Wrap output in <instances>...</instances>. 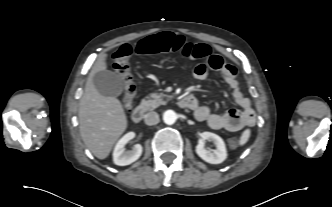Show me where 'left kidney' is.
Wrapping results in <instances>:
<instances>
[{
	"mask_svg": "<svg viewBox=\"0 0 332 207\" xmlns=\"http://www.w3.org/2000/svg\"><path fill=\"white\" fill-rule=\"evenodd\" d=\"M200 136L201 139L196 146L197 155L205 162H208L210 164L222 163L227 158V151L223 139L220 136L211 132H203ZM205 140L213 141L216 149L212 152L208 151L205 148Z\"/></svg>",
	"mask_w": 332,
	"mask_h": 207,
	"instance_id": "obj_1",
	"label": "left kidney"
}]
</instances>
